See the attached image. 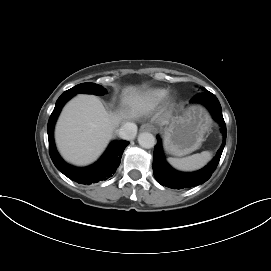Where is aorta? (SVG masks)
Segmentation results:
<instances>
[{"label": "aorta", "instance_id": "aorta-1", "mask_svg": "<svg viewBox=\"0 0 271 271\" xmlns=\"http://www.w3.org/2000/svg\"><path fill=\"white\" fill-rule=\"evenodd\" d=\"M138 143L141 147L150 149L155 146L156 140L153 134L148 132L140 133L138 136Z\"/></svg>", "mask_w": 271, "mask_h": 271}]
</instances>
